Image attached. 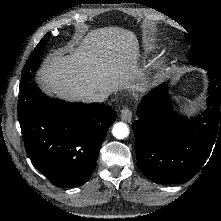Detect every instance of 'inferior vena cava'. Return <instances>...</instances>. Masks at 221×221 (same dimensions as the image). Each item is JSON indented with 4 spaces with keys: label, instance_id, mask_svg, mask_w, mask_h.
Wrapping results in <instances>:
<instances>
[{
    "label": "inferior vena cava",
    "instance_id": "inferior-vena-cava-1",
    "mask_svg": "<svg viewBox=\"0 0 221 221\" xmlns=\"http://www.w3.org/2000/svg\"><path fill=\"white\" fill-rule=\"evenodd\" d=\"M106 92H94V93H87L85 95V100L89 102H103L107 97Z\"/></svg>",
    "mask_w": 221,
    "mask_h": 221
}]
</instances>
